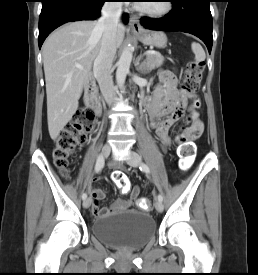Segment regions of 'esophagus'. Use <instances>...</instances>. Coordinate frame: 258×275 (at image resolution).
I'll list each match as a JSON object with an SVG mask.
<instances>
[{
	"label": "esophagus",
	"instance_id": "1",
	"mask_svg": "<svg viewBox=\"0 0 258 275\" xmlns=\"http://www.w3.org/2000/svg\"><path fill=\"white\" fill-rule=\"evenodd\" d=\"M130 27L134 32L141 31L142 29L138 17L134 14L130 17Z\"/></svg>",
	"mask_w": 258,
	"mask_h": 275
}]
</instances>
